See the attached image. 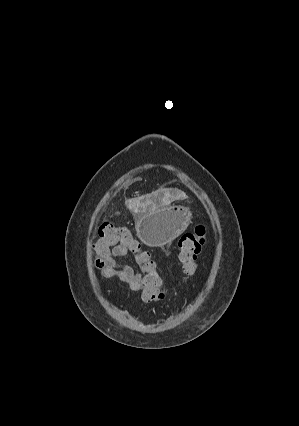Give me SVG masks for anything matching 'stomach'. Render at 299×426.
<instances>
[{"instance_id": "stomach-1", "label": "stomach", "mask_w": 299, "mask_h": 426, "mask_svg": "<svg viewBox=\"0 0 299 426\" xmlns=\"http://www.w3.org/2000/svg\"><path fill=\"white\" fill-rule=\"evenodd\" d=\"M189 208L173 205L149 210L136 219L138 238L147 246L163 247L180 236L191 223Z\"/></svg>"}]
</instances>
